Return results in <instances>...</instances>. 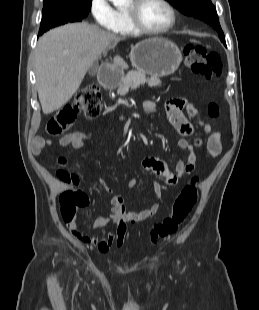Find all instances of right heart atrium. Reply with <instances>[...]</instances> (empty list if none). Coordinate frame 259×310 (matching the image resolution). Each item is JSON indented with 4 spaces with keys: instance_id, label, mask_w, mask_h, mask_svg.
Instances as JSON below:
<instances>
[{
    "instance_id": "1",
    "label": "right heart atrium",
    "mask_w": 259,
    "mask_h": 310,
    "mask_svg": "<svg viewBox=\"0 0 259 310\" xmlns=\"http://www.w3.org/2000/svg\"><path fill=\"white\" fill-rule=\"evenodd\" d=\"M90 12L99 26L111 30L116 28V11L108 0H90Z\"/></svg>"
}]
</instances>
